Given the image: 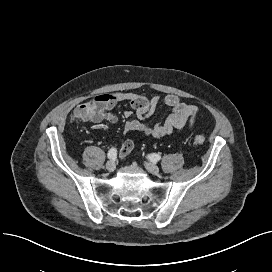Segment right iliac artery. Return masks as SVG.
<instances>
[{
	"label": "right iliac artery",
	"instance_id": "82829eb1",
	"mask_svg": "<svg viewBox=\"0 0 272 272\" xmlns=\"http://www.w3.org/2000/svg\"><path fill=\"white\" fill-rule=\"evenodd\" d=\"M116 156H117V150H116V148H111L108 151V154H107L108 159H115Z\"/></svg>",
	"mask_w": 272,
	"mask_h": 272
}]
</instances>
